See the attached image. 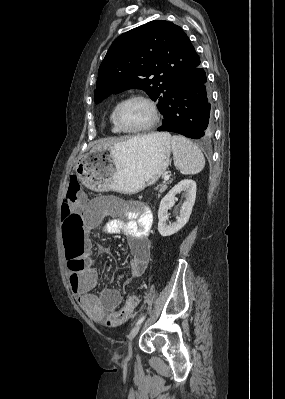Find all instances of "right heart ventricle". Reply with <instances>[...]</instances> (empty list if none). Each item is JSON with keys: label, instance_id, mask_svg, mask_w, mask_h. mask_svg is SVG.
<instances>
[{"label": "right heart ventricle", "instance_id": "obj_1", "mask_svg": "<svg viewBox=\"0 0 285 399\" xmlns=\"http://www.w3.org/2000/svg\"><path fill=\"white\" fill-rule=\"evenodd\" d=\"M119 103H120V101H117V102L113 105V108H112L111 113H110V116H109V120H110V124H111V130H112L113 133H123V131H121V130L118 128V126H117V124H116V122H115V111H116V108H117V106H118Z\"/></svg>", "mask_w": 285, "mask_h": 399}]
</instances>
